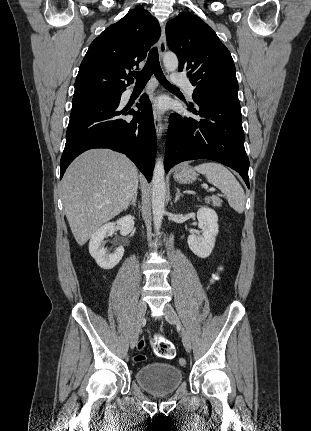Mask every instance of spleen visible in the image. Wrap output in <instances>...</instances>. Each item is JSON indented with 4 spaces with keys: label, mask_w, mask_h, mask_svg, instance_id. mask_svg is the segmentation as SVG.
<instances>
[{
    "label": "spleen",
    "mask_w": 311,
    "mask_h": 431,
    "mask_svg": "<svg viewBox=\"0 0 311 431\" xmlns=\"http://www.w3.org/2000/svg\"><path fill=\"white\" fill-rule=\"evenodd\" d=\"M194 170L199 174H204L209 184L216 186L221 190L222 194H225L229 206L235 212L243 214L246 202L244 190L227 168H224L221 164H215V162H207V164L195 166Z\"/></svg>",
    "instance_id": "3e777b00"
}]
</instances>
